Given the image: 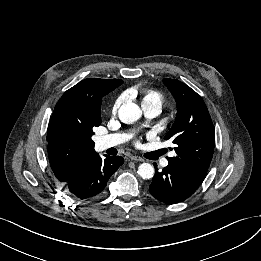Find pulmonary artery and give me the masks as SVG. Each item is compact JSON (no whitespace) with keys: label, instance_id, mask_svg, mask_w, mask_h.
<instances>
[{"label":"pulmonary artery","instance_id":"pulmonary-artery-1","mask_svg":"<svg viewBox=\"0 0 261 261\" xmlns=\"http://www.w3.org/2000/svg\"><path fill=\"white\" fill-rule=\"evenodd\" d=\"M143 109L145 111V115L147 116V118H155L156 116H158L160 114V111H161L160 108L155 107V106H153V107L144 106ZM129 138H130V136L125 133L112 134V135H108V136L100 138L99 145L102 148H109V147L117 146V145L127 141ZM172 155H174V153H172ZM161 165L163 167L167 166L168 160L167 159L162 160Z\"/></svg>","mask_w":261,"mask_h":261}]
</instances>
